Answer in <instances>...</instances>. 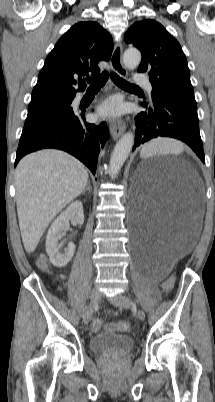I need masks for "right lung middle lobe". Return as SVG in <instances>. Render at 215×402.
Here are the masks:
<instances>
[{"mask_svg": "<svg viewBox=\"0 0 215 402\" xmlns=\"http://www.w3.org/2000/svg\"><path fill=\"white\" fill-rule=\"evenodd\" d=\"M72 100L61 97L32 100L28 106V115L21 137L71 112Z\"/></svg>", "mask_w": 215, "mask_h": 402, "instance_id": "obj_1", "label": "right lung middle lobe"}]
</instances>
